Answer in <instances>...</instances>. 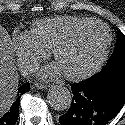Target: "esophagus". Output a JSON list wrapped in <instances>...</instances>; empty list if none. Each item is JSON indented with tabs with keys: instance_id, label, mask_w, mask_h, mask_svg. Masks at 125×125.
Returning a JSON list of instances; mask_svg holds the SVG:
<instances>
[{
	"instance_id": "obj_1",
	"label": "esophagus",
	"mask_w": 125,
	"mask_h": 125,
	"mask_svg": "<svg viewBox=\"0 0 125 125\" xmlns=\"http://www.w3.org/2000/svg\"><path fill=\"white\" fill-rule=\"evenodd\" d=\"M38 89H47L49 86L46 84L36 83L35 84Z\"/></svg>"
}]
</instances>
